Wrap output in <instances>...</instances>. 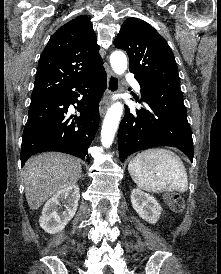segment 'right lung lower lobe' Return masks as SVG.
<instances>
[{"mask_svg":"<svg viewBox=\"0 0 221 274\" xmlns=\"http://www.w3.org/2000/svg\"><path fill=\"white\" fill-rule=\"evenodd\" d=\"M107 87L104 68L49 95L32 98L21 146V164L40 152L59 151L90 161L87 149L99 125V101ZM81 97V100H78ZM77 104L80 117L69 116Z\"/></svg>","mask_w":221,"mask_h":274,"instance_id":"right-lung-lower-lobe-1","label":"right lung lower lobe"}]
</instances>
